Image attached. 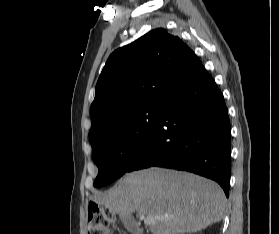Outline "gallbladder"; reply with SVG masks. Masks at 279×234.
Instances as JSON below:
<instances>
[{"label": "gallbladder", "instance_id": "1", "mask_svg": "<svg viewBox=\"0 0 279 234\" xmlns=\"http://www.w3.org/2000/svg\"><path fill=\"white\" fill-rule=\"evenodd\" d=\"M121 221L124 224V226L127 228V230H129L133 234H139V228L132 215L121 216Z\"/></svg>", "mask_w": 279, "mask_h": 234}]
</instances>
